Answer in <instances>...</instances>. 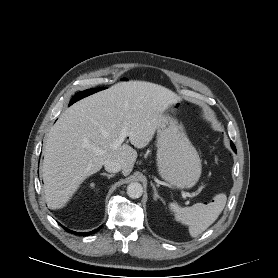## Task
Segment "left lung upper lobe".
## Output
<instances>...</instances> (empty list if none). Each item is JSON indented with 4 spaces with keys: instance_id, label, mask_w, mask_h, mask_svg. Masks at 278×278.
<instances>
[{
    "instance_id": "5c2ea615",
    "label": "left lung upper lobe",
    "mask_w": 278,
    "mask_h": 278,
    "mask_svg": "<svg viewBox=\"0 0 278 278\" xmlns=\"http://www.w3.org/2000/svg\"><path fill=\"white\" fill-rule=\"evenodd\" d=\"M231 147L233 148L234 151H236V148L232 142H231Z\"/></svg>"
}]
</instances>
